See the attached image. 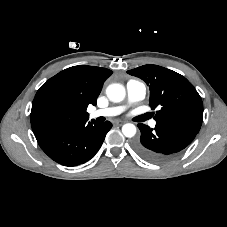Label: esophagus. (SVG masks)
Listing matches in <instances>:
<instances>
[{"label": "esophagus", "mask_w": 227, "mask_h": 227, "mask_svg": "<svg viewBox=\"0 0 227 227\" xmlns=\"http://www.w3.org/2000/svg\"><path fill=\"white\" fill-rule=\"evenodd\" d=\"M124 122L123 121H117L115 124L116 125H122Z\"/></svg>", "instance_id": "34e87169"}]
</instances>
